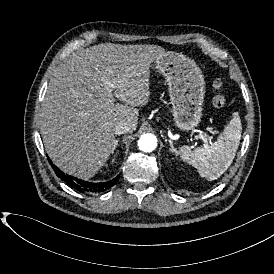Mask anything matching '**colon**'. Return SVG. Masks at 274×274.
I'll return each instance as SVG.
<instances>
[{"label": "colon", "mask_w": 274, "mask_h": 274, "mask_svg": "<svg viewBox=\"0 0 274 274\" xmlns=\"http://www.w3.org/2000/svg\"><path fill=\"white\" fill-rule=\"evenodd\" d=\"M217 90L218 91L216 93V96L214 97L213 103L215 107L221 108L225 105V96L219 91V88H217Z\"/></svg>", "instance_id": "colon-1"}]
</instances>
